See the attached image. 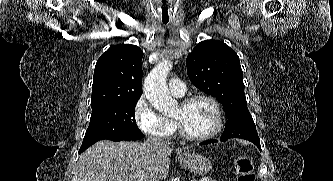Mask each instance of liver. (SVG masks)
Segmentation results:
<instances>
[{"mask_svg":"<svg viewBox=\"0 0 333 181\" xmlns=\"http://www.w3.org/2000/svg\"><path fill=\"white\" fill-rule=\"evenodd\" d=\"M173 149L157 151L145 143L101 140L81 154L80 181H162Z\"/></svg>","mask_w":333,"mask_h":181,"instance_id":"liver-1","label":"liver"}]
</instances>
